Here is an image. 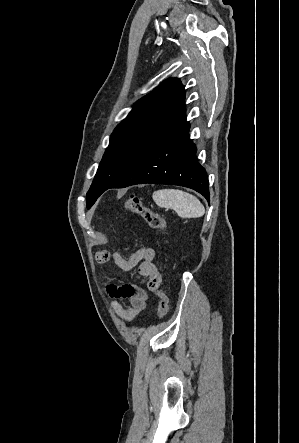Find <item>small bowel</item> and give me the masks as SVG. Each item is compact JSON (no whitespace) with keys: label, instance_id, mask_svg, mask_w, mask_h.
<instances>
[{"label":"small bowel","instance_id":"obj_1","mask_svg":"<svg viewBox=\"0 0 299 443\" xmlns=\"http://www.w3.org/2000/svg\"><path fill=\"white\" fill-rule=\"evenodd\" d=\"M95 258L100 264L112 260L123 271H130L137 267L142 277L141 285L104 282L105 290L112 299L111 306L114 312L124 321L132 322L146 306L148 293L144 285L149 291H154L161 283V274L154 264V249L141 248L128 258L118 251L103 250L97 252ZM119 300H126L127 303L123 305Z\"/></svg>","mask_w":299,"mask_h":443}]
</instances>
